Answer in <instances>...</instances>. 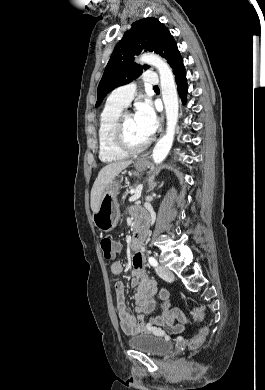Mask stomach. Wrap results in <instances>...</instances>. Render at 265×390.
I'll list each match as a JSON object with an SVG mask.
<instances>
[{"label": "stomach", "instance_id": "1", "mask_svg": "<svg viewBox=\"0 0 265 390\" xmlns=\"http://www.w3.org/2000/svg\"><path fill=\"white\" fill-rule=\"evenodd\" d=\"M148 167V162L143 159H138L135 163L136 170L142 172ZM120 183L118 180H113L104 191L97 212L93 213V222L95 226L103 231L110 232L113 230L119 221L120 210L117 201Z\"/></svg>", "mask_w": 265, "mask_h": 390}]
</instances>
